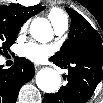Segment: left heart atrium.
<instances>
[{
	"instance_id": "1",
	"label": "left heart atrium",
	"mask_w": 103,
	"mask_h": 103,
	"mask_svg": "<svg viewBox=\"0 0 103 103\" xmlns=\"http://www.w3.org/2000/svg\"><path fill=\"white\" fill-rule=\"evenodd\" d=\"M20 52L25 58L39 63L44 61L52 53V48L47 45L29 42L21 47Z\"/></svg>"
}]
</instances>
